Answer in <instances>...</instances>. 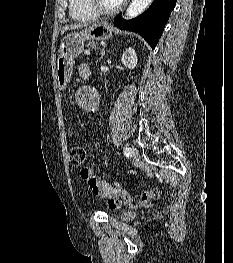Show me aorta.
<instances>
[{
    "mask_svg": "<svg viewBox=\"0 0 233 263\" xmlns=\"http://www.w3.org/2000/svg\"><path fill=\"white\" fill-rule=\"evenodd\" d=\"M153 0H133L126 11V18L132 19L147 9ZM98 102V93L93 87L84 88L80 105L86 110H94Z\"/></svg>",
    "mask_w": 233,
    "mask_h": 263,
    "instance_id": "1",
    "label": "aorta"
}]
</instances>
